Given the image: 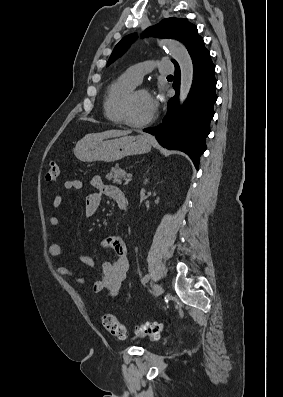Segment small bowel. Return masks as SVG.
I'll use <instances>...</instances> for the list:
<instances>
[{
    "label": "small bowel",
    "instance_id": "1",
    "mask_svg": "<svg viewBox=\"0 0 283 397\" xmlns=\"http://www.w3.org/2000/svg\"><path fill=\"white\" fill-rule=\"evenodd\" d=\"M93 192H91L85 201V215L87 218H92L97 213L101 204L103 196L111 198L117 206L121 209L127 205L126 195L119 188L106 185L101 177L94 176L91 179ZM66 190H80L83 188L81 180H68L64 183ZM63 203V197L58 194L54 197L52 205L55 209L59 208ZM49 224L58 228L60 226V219L57 216L49 218ZM104 245L111 249L116 256L113 262H105L101 266V277L92 284V291L94 293L108 292L109 296L114 298L120 294L122 283L126 277L129 268V261L127 256V248L125 242L119 237H109L105 240ZM62 253V246L58 243H53L48 247V255L51 259L60 256ZM79 261L89 267L95 266V261L89 256H80ZM57 273L63 277L78 283L83 284L84 278L74 269L67 266L57 267Z\"/></svg>",
    "mask_w": 283,
    "mask_h": 397
}]
</instances>
